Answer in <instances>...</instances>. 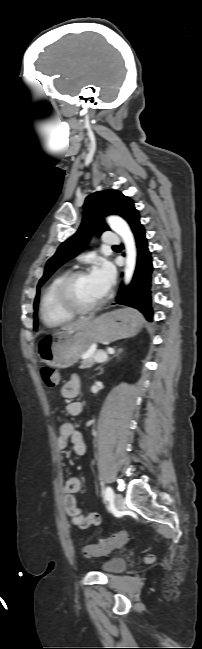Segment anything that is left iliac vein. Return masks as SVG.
Masks as SVG:
<instances>
[{"instance_id":"4c4485c4","label":"left iliac vein","mask_w":202,"mask_h":649,"mask_svg":"<svg viewBox=\"0 0 202 649\" xmlns=\"http://www.w3.org/2000/svg\"><path fill=\"white\" fill-rule=\"evenodd\" d=\"M113 502H114V505H115V507H116L117 509H119V510H122V509H123V507H124V502H123V498H122V496H121L120 494H115V495L113 496Z\"/></svg>"}]
</instances>
